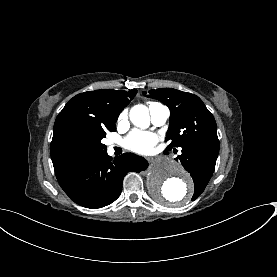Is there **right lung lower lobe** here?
I'll list each match as a JSON object with an SVG mask.
<instances>
[{"instance_id": "1", "label": "right lung lower lobe", "mask_w": 277, "mask_h": 277, "mask_svg": "<svg viewBox=\"0 0 277 277\" xmlns=\"http://www.w3.org/2000/svg\"><path fill=\"white\" fill-rule=\"evenodd\" d=\"M147 166L143 157L124 153L112 159L105 150L54 170L60 186L75 203L96 209L120 196L129 171L140 172Z\"/></svg>"}]
</instances>
